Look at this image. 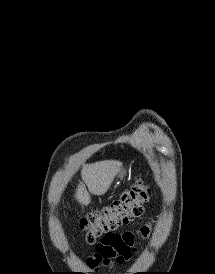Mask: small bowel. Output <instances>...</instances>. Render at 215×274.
<instances>
[{
  "instance_id": "obj_1",
  "label": "small bowel",
  "mask_w": 215,
  "mask_h": 274,
  "mask_svg": "<svg viewBox=\"0 0 215 274\" xmlns=\"http://www.w3.org/2000/svg\"><path fill=\"white\" fill-rule=\"evenodd\" d=\"M138 232L141 236L146 237L149 233V226H141ZM134 252V234L132 232H110L96 244L95 252L87 260V264L91 268H97L100 264L105 266L123 264L132 258Z\"/></svg>"
}]
</instances>
